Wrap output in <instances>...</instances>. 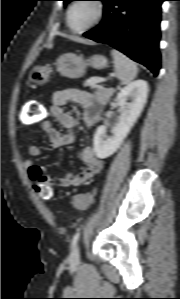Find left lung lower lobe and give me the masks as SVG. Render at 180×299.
Wrapping results in <instances>:
<instances>
[{
  "mask_svg": "<svg viewBox=\"0 0 180 299\" xmlns=\"http://www.w3.org/2000/svg\"><path fill=\"white\" fill-rule=\"evenodd\" d=\"M165 0H103L102 22L84 36L109 44L146 66L160 69L161 4Z\"/></svg>",
  "mask_w": 180,
  "mask_h": 299,
  "instance_id": "0a47b994",
  "label": "left lung lower lobe"
}]
</instances>
